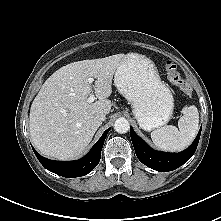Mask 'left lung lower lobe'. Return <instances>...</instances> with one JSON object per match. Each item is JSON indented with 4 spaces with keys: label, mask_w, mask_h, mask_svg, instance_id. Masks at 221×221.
<instances>
[{
    "label": "left lung lower lobe",
    "mask_w": 221,
    "mask_h": 221,
    "mask_svg": "<svg viewBox=\"0 0 221 221\" xmlns=\"http://www.w3.org/2000/svg\"><path fill=\"white\" fill-rule=\"evenodd\" d=\"M201 129L194 142L180 153H165L153 150L130 127V136L138 159L146 166L161 172L177 169L186 163L195 153Z\"/></svg>",
    "instance_id": "1"
}]
</instances>
